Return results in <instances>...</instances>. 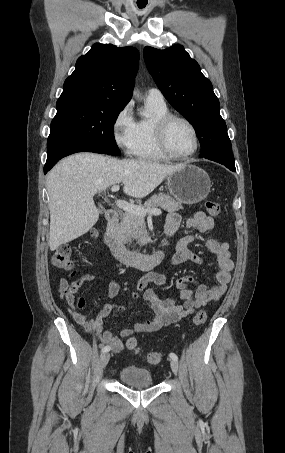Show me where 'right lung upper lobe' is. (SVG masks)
<instances>
[{"mask_svg": "<svg viewBox=\"0 0 285 453\" xmlns=\"http://www.w3.org/2000/svg\"><path fill=\"white\" fill-rule=\"evenodd\" d=\"M138 66L136 48L95 43L78 58L58 101L103 100L125 106L132 97Z\"/></svg>", "mask_w": 285, "mask_h": 453, "instance_id": "cb5924a9", "label": "right lung upper lobe"}]
</instances>
